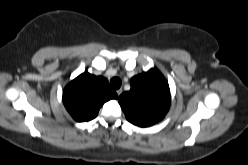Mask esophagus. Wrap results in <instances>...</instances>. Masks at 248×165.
Here are the masks:
<instances>
[{"label":"esophagus","mask_w":248,"mask_h":165,"mask_svg":"<svg viewBox=\"0 0 248 165\" xmlns=\"http://www.w3.org/2000/svg\"><path fill=\"white\" fill-rule=\"evenodd\" d=\"M116 93H117L118 96H120L122 94V88L116 90Z\"/></svg>","instance_id":"obj_1"}]
</instances>
